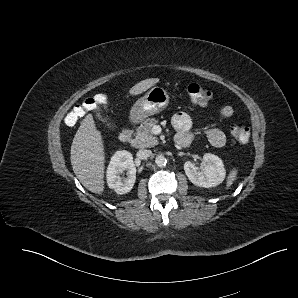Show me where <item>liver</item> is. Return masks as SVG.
<instances>
[{
  "label": "liver",
  "instance_id": "1",
  "mask_svg": "<svg viewBox=\"0 0 298 298\" xmlns=\"http://www.w3.org/2000/svg\"><path fill=\"white\" fill-rule=\"evenodd\" d=\"M160 81L149 78L135 84L130 95H139ZM70 160L74 174L80 183L92 193L104 191V147L101 133L97 130L92 114L86 115L74 136Z\"/></svg>",
  "mask_w": 298,
  "mask_h": 298
}]
</instances>
